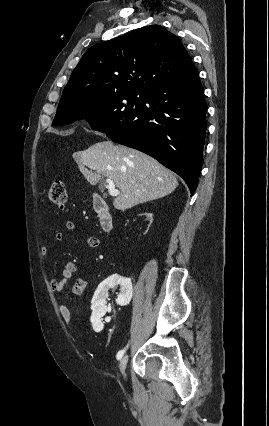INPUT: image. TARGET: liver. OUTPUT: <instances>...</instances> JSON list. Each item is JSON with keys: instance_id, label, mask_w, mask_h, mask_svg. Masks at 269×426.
I'll list each match as a JSON object with an SVG mask.
<instances>
[{"instance_id": "liver-1", "label": "liver", "mask_w": 269, "mask_h": 426, "mask_svg": "<svg viewBox=\"0 0 269 426\" xmlns=\"http://www.w3.org/2000/svg\"><path fill=\"white\" fill-rule=\"evenodd\" d=\"M91 185L101 176L111 179L120 194L114 199L117 210L162 198L178 186L176 176L152 157L135 149L103 141L73 154ZM90 170H89V169ZM93 170V171H92Z\"/></svg>"}]
</instances>
